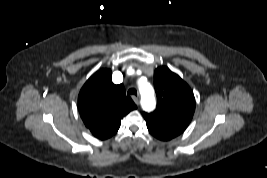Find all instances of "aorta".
Returning <instances> with one entry per match:
<instances>
[{
    "label": "aorta",
    "instance_id": "1",
    "mask_svg": "<svg viewBox=\"0 0 267 178\" xmlns=\"http://www.w3.org/2000/svg\"><path fill=\"white\" fill-rule=\"evenodd\" d=\"M139 91L141 94V105L142 108L146 111L153 110L156 105L154 90L152 86L148 83H140Z\"/></svg>",
    "mask_w": 267,
    "mask_h": 178
}]
</instances>
